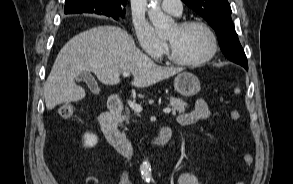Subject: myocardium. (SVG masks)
Listing matches in <instances>:
<instances>
[{"label":"myocardium","instance_id":"f54148a6","mask_svg":"<svg viewBox=\"0 0 293 184\" xmlns=\"http://www.w3.org/2000/svg\"><path fill=\"white\" fill-rule=\"evenodd\" d=\"M178 27L180 29H188L191 27L203 28L210 37L211 47H210L209 52L200 59L184 60V59H181L180 57H178L174 53L170 44L167 43V57L171 62L178 64V65H181V66H190V67L200 66V65L205 64L206 62L210 61L216 55V53L218 51V39H217V35H216L215 31L208 23L201 21V20H187V21L180 22L178 24Z\"/></svg>","mask_w":293,"mask_h":184}]
</instances>
